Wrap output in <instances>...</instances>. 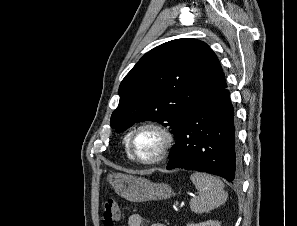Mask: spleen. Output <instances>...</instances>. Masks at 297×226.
I'll return each instance as SVG.
<instances>
[{
  "label": "spleen",
  "mask_w": 297,
  "mask_h": 226,
  "mask_svg": "<svg viewBox=\"0 0 297 226\" xmlns=\"http://www.w3.org/2000/svg\"><path fill=\"white\" fill-rule=\"evenodd\" d=\"M190 179L199 191L198 195L190 201V208L193 212H209L227 200L228 195L219 178L206 173L194 172Z\"/></svg>",
  "instance_id": "3e777b00"
}]
</instances>
